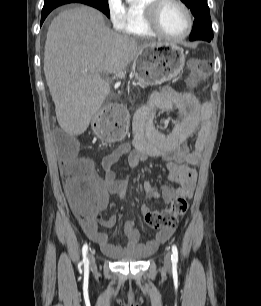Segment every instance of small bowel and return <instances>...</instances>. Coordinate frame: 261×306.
<instances>
[{"label":"small bowel","mask_w":261,"mask_h":306,"mask_svg":"<svg viewBox=\"0 0 261 306\" xmlns=\"http://www.w3.org/2000/svg\"><path fill=\"white\" fill-rule=\"evenodd\" d=\"M173 107L179 109L183 119L170 132H162L155 126L158 113L170 111ZM211 112L208 103L201 104L191 93L179 92L170 87H164L155 92L149 103L137 111L133 120V136L131 143H123L106 155L101 162L103 176L93 168V163L87 158L78 159L87 162L93 170L92 190L93 198L86 209L77 215L78 222L85 235L98 244L104 254L117 258L125 253L150 254L158 245L166 242L173 234V228L160 230L146 243L141 242V234L131 221L124 223L122 233L126 237L123 246L113 244L108 234L101 232L99 226L112 228L116 223V216L101 217V212L107 209L110 198L125 197L127 183L119 179L113 166L126 155L130 167H137L147 159H160L166 164L168 181L176 182L178 187L162 186L159 191L156 184L145 181L144 190L149 197L162 198L165 203L171 202L178 196L191 197L196 178L193 166L200 163L203 157L207 138L205 121ZM196 135L197 139L192 148L186 141ZM67 161H60L62 173ZM142 211H147L146 206Z\"/></svg>","instance_id":"obj_1"}]
</instances>
